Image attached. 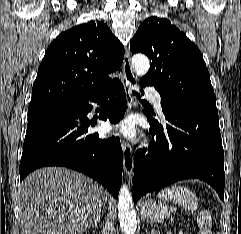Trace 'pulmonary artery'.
Listing matches in <instances>:
<instances>
[{
	"mask_svg": "<svg viewBox=\"0 0 241 234\" xmlns=\"http://www.w3.org/2000/svg\"><path fill=\"white\" fill-rule=\"evenodd\" d=\"M146 93L151 98L155 108L158 111H161L162 108H161V96H160V94L154 88H147Z\"/></svg>",
	"mask_w": 241,
	"mask_h": 234,
	"instance_id": "e3ab8cb5",
	"label": "pulmonary artery"
}]
</instances>
